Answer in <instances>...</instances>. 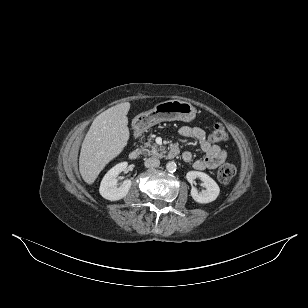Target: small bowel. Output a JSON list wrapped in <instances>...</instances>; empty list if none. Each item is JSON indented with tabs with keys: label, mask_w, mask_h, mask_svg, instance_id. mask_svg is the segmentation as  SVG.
Returning <instances> with one entry per match:
<instances>
[{
	"label": "small bowel",
	"mask_w": 308,
	"mask_h": 308,
	"mask_svg": "<svg viewBox=\"0 0 308 308\" xmlns=\"http://www.w3.org/2000/svg\"><path fill=\"white\" fill-rule=\"evenodd\" d=\"M179 133L184 138L196 140L204 153V157L193 162V167L196 170L203 171L206 169H215L226 160V151L218 145L210 143L203 129L199 127L182 126L179 129ZM182 158L187 163L193 161V155L189 151H185L182 154Z\"/></svg>",
	"instance_id": "1"
}]
</instances>
